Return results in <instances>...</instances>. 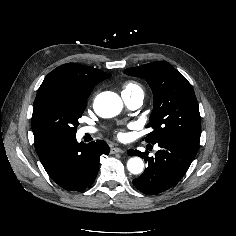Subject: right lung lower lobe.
Instances as JSON below:
<instances>
[{"instance_id": "1", "label": "right lung lower lobe", "mask_w": 236, "mask_h": 236, "mask_svg": "<svg viewBox=\"0 0 236 236\" xmlns=\"http://www.w3.org/2000/svg\"><path fill=\"white\" fill-rule=\"evenodd\" d=\"M34 140L44 169L67 191H83L91 186L97 176L100 156L109 154V146L103 140L78 143L75 135Z\"/></svg>"}]
</instances>
